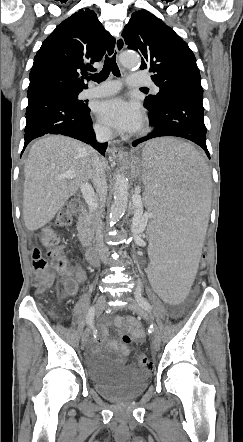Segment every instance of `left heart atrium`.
<instances>
[{
	"mask_svg": "<svg viewBox=\"0 0 243 442\" xmlns=\"http://www.w3.org/2000/svg\"><path fill=\"white\" fill-rule=\"evenodd\" d=\"M96 111L103 123L119 132H133L142 122L139 104L122 97H113L100 102Z\"/></svg>",
	"mask_w": 243,
	"mask_h": 442,
	"instance_id": "39dd6f15",
	"label": "left heart atrium"
}]
</instances>
